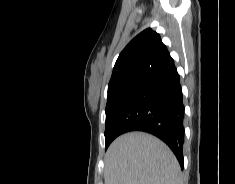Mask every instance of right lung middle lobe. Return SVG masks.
Instances as JSON below:
<instances>
[{
    "mask_svg": "<svg viewBox=\"0 0 235 184\" xmlns=\"http://www.w3.org/2000/svg\"><path fill=\"white\" fill-rule=\"evenodd\" d=\"M141 78H133L127 81L121 87L108 91L107 105L105 109L106 113V128H105V141H106V149L110 145V143L116 138L113 132L110 130V123L113 120V117L124 99L127 92L137 84Z\"/></svg>",
    "mask_w": 235,
    "mask_h": 184,
    "instance_id": "1",
    "label": "right lung middle lobe"
}]
</instances>
